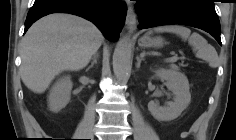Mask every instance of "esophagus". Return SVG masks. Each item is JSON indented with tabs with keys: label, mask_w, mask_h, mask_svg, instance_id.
Wrapping results in <instances>:
<instances>
[{
	"label": "esophagus",
	"mask_w": 236,
	"mask_h": 140,
	"mask_svg": "<svg viewBox=\"0 0 236 140\" xmlns=\"http://www.w3.org/2000/svg\"><path fill=\"white\" fill-rule=\"evenodd\" d=\"M126 26L130 32H135L137 29V18L133 7L129 6L126 15Z\"/></svg>",
	"instance_id": "obj_1"
}]
</instances>
